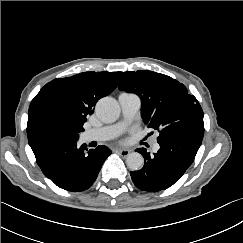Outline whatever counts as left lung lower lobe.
Here are the masks:
<instances>
[{
    "label": "left lung lower lobe",
    "mask_w": 243,
    "mask_h": 243,
    "mask_svg": "<svg viewBox=\"0 0 243 243\" xmlns=\"http://www.w3.org/2000/svg\"><path fill=\"white\" fill-rule=\"evenodd\" d=\"M204 128H187L159 142L160 149L151 156L145 148L136 151L145 159L139 171L130 175L137 188L157 192L176 183L193 163L202 143Z\"/></svg>",
    "instance_id": "0a47b994"
}]
</instances>
